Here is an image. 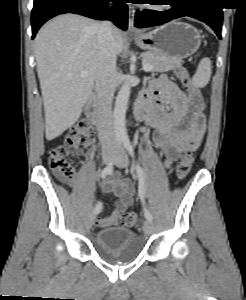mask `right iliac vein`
Instances as JSON below:
<instances>
[{
    "instance_id": "63e3f726",
    "label": "right iliac vein",
    "mask_w": 246,
    "mask_h": 300,
    "mask_svg": "<svg viewBox=\"0 0 246 300\" xmlns=\"http://www.w3.org/2000/svg\"><path fill=\"white\" fill-rule=\"evenodd\" d=\"M115 157L113 152H105L103 153V161L105 164L110 163ZM95 220V213H91L88 217V224L91 226Z\"/></svg>"
}]
</instances>
